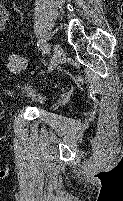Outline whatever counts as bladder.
<instances>
[{"mask_svg": "<svg viewBox=\"0 0 123 201\" xmlns=\"http://www.w3.org/2000/svg\"><path fill=\"white\" fill-rule=\"evenodd\" d=\"M13 90L21 100L35 103L39 109L44 108L46 105L45 98L36 93L30 82H17L13 84Z\"/></svg>", "mask_w": 123, "mask_h": 201, "instance_id": "bladder-1", "label": "bladder"}]
</instances>
